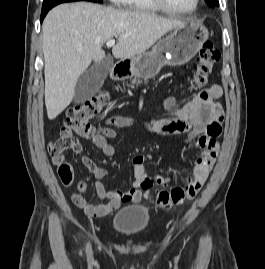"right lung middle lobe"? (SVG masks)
<instances>
[{
    "instance_id": "obj_1",
    "label": "right lung middle lobe",
    "mask_w": 265,
    "mask_h": 269,
    "mask_svg": "<svg viewBox=\"0 0 265 269\" xmlns=\"http://www.w3.org/2000/svg\"><path fill=\"white\" fill-rule=\"evenodd\" d=\"M90 2H97V3H102L103 0H89Z\"/></svg>"
}]
</instances>
